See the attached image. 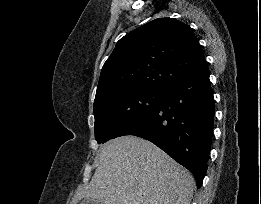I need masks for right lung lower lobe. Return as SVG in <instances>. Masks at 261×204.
Wrapping results in <instances>:
<instances>
[{"label":"right lung lower lobe","instance_id":"right-lung-lower-lobe-1","mask_svg":"<svg viewBox=\"0 0 261 204\" xmlns=\"http://www.w3.org/2000/svg\"><path fill=\"white\" fill-rule=\"evenodd\" d=\"M214 114L205 61L168 87L157 105L120 136L134 135L151 141L190 170L200 188L207 170Z\"/></svg>","mask_w":261,"mask_h":204}]
</instances>
